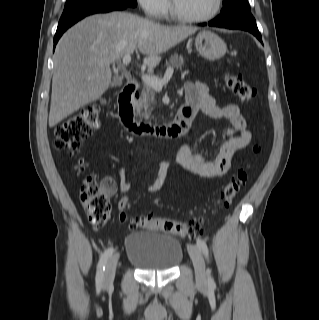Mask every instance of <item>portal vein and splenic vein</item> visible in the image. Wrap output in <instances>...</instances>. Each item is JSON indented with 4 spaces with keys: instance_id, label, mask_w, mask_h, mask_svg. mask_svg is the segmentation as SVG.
Listing matches in <instances>:
<instances>
[{
    "instance_id": "1",
    "label": "portal vein and splenic vein",
    "mask_w": 319,
    "mask_h": 320,
    "mask_svg": "<svg viewBox=\"0 0 319 320\" xmlns=\"http://www.w3.org/2000/svg\"><path fill=\"white\" fill-rule=\"evenodd\" d=\"M130 62H131L130 54L125 55L123 57V64L128 65ZM173 72H174L173 68H168L162 79L155 76L142 75V80L145 84L151 86L153 89L160 90L162 89L163 85L168 83V81L171 79Z\"/></svg>"
}]
</instances>
